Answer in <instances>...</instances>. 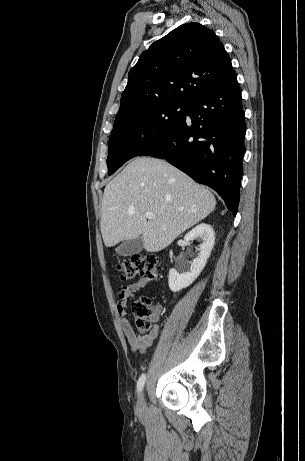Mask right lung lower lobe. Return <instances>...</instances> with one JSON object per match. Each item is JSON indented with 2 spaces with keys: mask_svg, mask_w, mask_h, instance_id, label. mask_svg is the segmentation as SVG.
Masks as SVG:
<instances>
[{
  "mask_svg": "<svg viewBox=\"0 0 305 461\" xmlns=\"http://www.w3.org/2000/svg\"><path fill=\"white\" fill-rule=\"evenodd\" d=\"M186 116L167 138L139 156L165 159L213 188L236 215L246 131L236 73L194 98Z\"/></svg>",
  "mask_w": 305,
  "mask_h": 461,
  "instance_id": "98d812e1",
  "label": "right lung lower lobe"
}]
</instances>
